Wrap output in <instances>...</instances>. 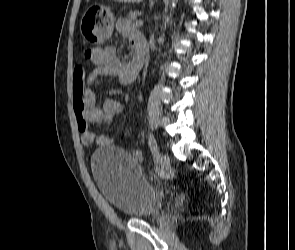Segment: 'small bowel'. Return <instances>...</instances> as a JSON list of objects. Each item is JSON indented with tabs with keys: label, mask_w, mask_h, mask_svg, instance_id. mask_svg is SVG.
I'll return each mask as SVG.
<instances>
[{
	"label": "small bowel",
	"mask_w": 295,
	"mask_h": 250,
	"mask_svg": "<svg viewBox=\"0 0 295 250\" xmlns=\"http://www.w3.org/2000/svg\"><path fill=\"white\" fill-rule=\"evenodd\" d=\"M117 30L123 37L129 39L130 46L135 51L143 48L142 39L133 32L128 21L119 20ZM90 60L95 68L87 77L83 65L79 64L74 69L73 108L83 145L88 148L104 147L112 144V138L108 135H96L90 129L89 124L110 123L116 115L122 112L123 105L117 100L107 98L101 107H97L95 95L90 86L97 78L102 77H116L124 85L133 84L138 77L140 68L137 66L135 58L131 61L119 59L114 46L92 49ZM133 155L137 159L141 158L137 152Z\"/></svg>",
	"instance_id": "1"
}]
</instances>
